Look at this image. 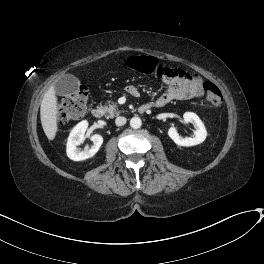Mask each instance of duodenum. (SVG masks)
Wrapping results in <instances>:
<instances>
[{
    "instance_id": "410a0bca",
    "label": "duodenum",
    "mask_w": 264,
    "mask_h": 264,
    "mask_svg": "<svg viewBox=\"0 0 264 264\" xmlns=\"http://www.w3.org/2000/svg\"><path fill=\"white\" fill-rule=\"evenodd\" d=\"M132 94L134 96L138 97L139 96V91L137 89H134ZM149 108L150 107L147 106V105H141L138 108V110H139V112L144 113V112L148 111ZM104 114H105V108L102 105H96V106L93 107L92 115H93L94 118L101 119V118H103Z\"/></svg>"
}]
</instances>
